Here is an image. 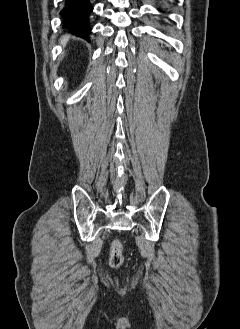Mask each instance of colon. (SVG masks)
<instances>
[{
    "label": "colon",
    "instance_id": "5ec220e1",
    "mask_svg": "<svg viewBox=\"0 0 240 329\" xmlns=\"http://www.w3.org/2000/svg\"><path fill=\"white\" fill-rule=\"evenodd\" d=\"M123 262L122 242L120 239L116 238L111 244L109 263L113 268H119L123 265Z\"/></svg>",
    "mask_w": 240,
    "mask_h": 329
}]
</instances>
